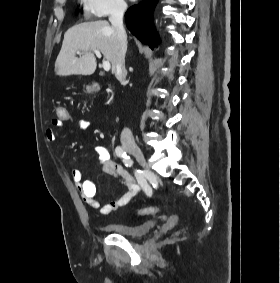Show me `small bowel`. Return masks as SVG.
Segmentation results:
<instances>
[{
  "label": "small bowel",
  "mask_w": 280,
  "mask_h": 283,
  "mask_svg": "<svg viewBox=\"0 0 280 283\" xmlns=\"http://www.w3.org/2000/svg\"><path fill=\"white\" fill-rule=\"evenodd\" d=\"M64 122H57V118L53 120L52 126L47 128L45 136L49 142L55 141L58 132L57 129L63 126ZM90 123L86 119H80L77 127L80 130H86ZM100 167L103 172L111 176L120 178L126 187L125 192L117 199L112 200L104 205L96 199V186L92 180L84 179L83 173L79 169L71 171L72 180L82 198V200L93 210L98 211L101 215H109L115 210L127 205L131 199L140 191V185L136 179L125 170L121 164L111 158L107 146L99 144L95 147Z\"/></svg>",
  "instance_id": "small-bowel-1"
}]
</instances>
